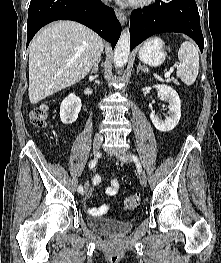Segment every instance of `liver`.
I'll list each match as a JSON object with an SVG mask.
<instances>
[{
    "label": "liver",
    "mask_w": 221,
    "mask_h": 263,
    "mask_svg": "<svg viewBox=\"0 0 221 263\" xmlns=\"http://www.w3.org/2000/svg\"><path fill=\"white\" fill-rule=\"evenodd\" d=\"M100 40L74 21H58L42 29L29 46L30 103L36 104L86 77L103 51Z\"/></svg>",
    "instance_id": "1"
}]
</instances>
